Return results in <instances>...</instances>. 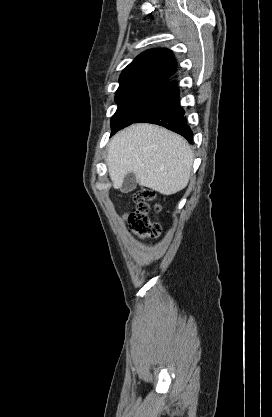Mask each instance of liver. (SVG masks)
Returning <instances> with one entry per match:
<instances>
[{"label": "liver", "instance_id": "1", "mask_svg": "<svg viewBox=\"0 0 272 417\" xmlns=\"http://www.w3.org/2000/svg\"><path fill=\"white\" fill-rule=\"evenodd\" d=\"M106 162L114 188H121L125 176L132 172L140 186L169 196L187 186L193 152L180 135L141 123L112 138Z\"/></svg>", "mask_w": 272, "mask_h": 417}]
</instances>
